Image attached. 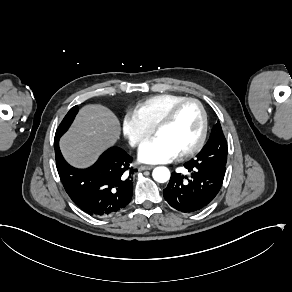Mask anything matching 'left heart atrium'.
<instances>
[{"mask_svg": "<svg viewBox=\"0 0 292 292\" xmlns=\"http://www.w3.org/2000/svg\"><path fill=\"white\" fill-rule=\"evenodd\" d=\"M179 155L178 147L162 135L148 139L138 152L139 159L145 163H165Z\"/></svg>", "mask_w": 292, "mask_h": 292, "instance_id": "left-heart-atrium-1", "label": "left heart atrium"}]
</instances>
